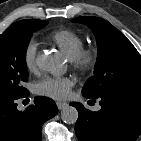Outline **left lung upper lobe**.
<instances>
[{
	"label": "left lung upper lobe",
	"mask_w": 141,
	"mask_h": 141,
	"mask_svg": "<svg viewBox=\"0 0 141 141\" xmlns=\"http://www.w3.org/2000/svg\"><path fill=\"white\" fill-rule=\"evenodd\" d=\"M72 22L92 29L98 46V57L82 94L97 98L109 92L141 95V56L132 43L108 21L81 16Z\"/></svg>",
	"instance_id": "1"
}]
</instances>
